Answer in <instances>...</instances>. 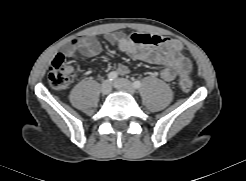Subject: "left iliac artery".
<instances>
[{
    "mask_svg": "<svg viewBox=\"0 0 246 181\" xmlns=\"http://www.w3.org/2000/svg\"><path fill=\"white\" fill-rule=\"evenodd\" d=\"M141 85H142L141 82L138 80L133 82V87L136 89H139L141 87Z\"/></svg>",
    "mask_w": 246,
    "mask_h": 181,
    "instance_id": "1",
    "label": "left iliac artery"
}]
</instances>
